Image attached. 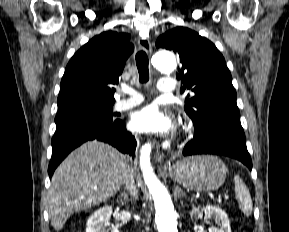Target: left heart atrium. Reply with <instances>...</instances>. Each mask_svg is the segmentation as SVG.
I'll list each match as a JSON object with an SVG mask.
<instances>
[{
  "label": "left heart atrium",
  "instance_id": "obj_1",
  "mask_svg": "<svg viewBox=\"0 0 289 232\" xmlns=\"http://www.w3.org/2000/svg\"><path fill=\"white\" fill-rule=\"evenodd\" d=\"M131 126L141 133L168 135L174 125L170 117L155 105H148L136 111L131 118Z\"/></svg>",
  "mask_w": 289,
  "mask_h": 232
}]
</instances>
